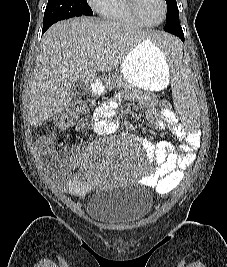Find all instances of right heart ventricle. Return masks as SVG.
<instances>
[{"label": "right heart ventricle", "mask_w": 227, "mask_h": 267, "mask_svg": "<svg viewBox=\"0 0 227 267\" xmlns=\"http://www.w3.org/2000/svg\"><path fill=\"white\" fill-rule=\"evenodd\" d=\"M96 11L105 19L131 25H144L131 12L128 0H104Z\"/></svg>", "instance_id": "right-heart-ventricle-1"}]
</instances>
